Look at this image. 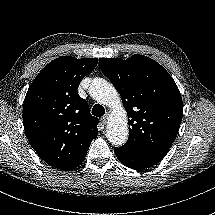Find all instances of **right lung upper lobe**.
I'll return each mask as SVG.
<instances>
[{
    "label": "right lung upper lobe",
    "instance_id": "1",
    "mask_svg": "<svg viewBox=\"0 0 215 215\" xmlns=\"http://www.w3.org/2000/svg\"><path fill=\"white\" fill-rule=\"evenodd\" d=\"M98 59L57 58L36 76L25 96L23 124L29 143L50 166L69 171L82 163L99 120L78 92Z\"/></svg>",
    "mask_w": 215,
    "mask_h": 215
}]
</instances>
